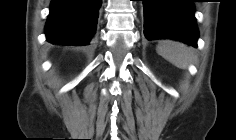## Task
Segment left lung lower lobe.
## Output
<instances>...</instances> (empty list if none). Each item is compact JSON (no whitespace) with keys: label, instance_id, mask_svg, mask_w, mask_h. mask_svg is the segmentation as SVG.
<instances>
[{"label":"left lung lower lobe","instance_id":"0a47b994","mask_svg":"<svg viewBox=\"0 0 236 140\" xmlns=\"http://www.w3.org/2000/svg\"><path fill=\"white\" fill-rule=\"evenodd\" d=\"M194 0H143L146 39H175L197 47Z\"/></svg>","mask_w":236,"mask_h":140}]
</instances>
